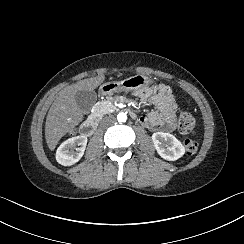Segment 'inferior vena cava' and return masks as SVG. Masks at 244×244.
Instances as JSON below:
<instances>
[{
	"label": "inferior vena cava",
	"instance_id": "602c4592",
	"mask_svg": "<svg viewBox=\"0 0 244 244\" xmlns=\"http://www.w3.org/2000/svg\"><path fill=\"white\" fill-rule=\"evenodd\" d=\"M110 119L112 120V123L115 122V118L114 117H110Z\"/></svg>",
	"mask_w": 244,
	"mask_h": 244
}]
</instances>
